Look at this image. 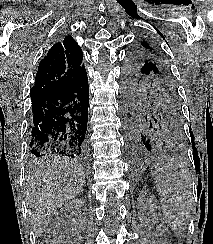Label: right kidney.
I'll use <instances>...</instances> for the list:
<instances>
[{"instance_id": "right-kidney-1", "label": "right kidney", "mask_w": 213, "mask_h": 244, "mask_svg": "<svg viewBox=\"0 0 213 244\" xmlns=\"http://www.w3.org/2000/svg\"><path fill=\"white\" fill-rule=\"evenodd\" d=\"M86 206V203L83 199L76 198L65 205L63 211H74L82 210ZM66 213V212H65ZM81 224H85V216L80 219Z\"/></svg>"}]
</instances>
